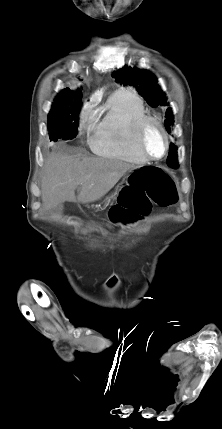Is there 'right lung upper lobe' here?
<instances>
[{"label":"right lung upper lobe","instance_id":"obj_1","mask_svg":"<svg viewBox=\"0 0 222 429\" xmlns=\"http://www.w3.org/2000/svg\"><path fill=\"white\" fill-rule=\"evenodd\" d=\"M71 90L69 88L63 89L59 94L69 93Z\"/></svg>","mask_w":222,"mask_h":429}]
</instances>
